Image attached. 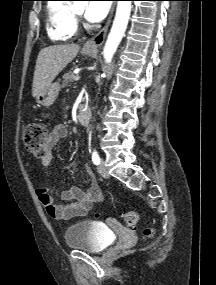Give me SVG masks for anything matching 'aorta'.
<instances>
[{"label":"aorta","mask_w":216,"mask_h":285,"mask_svg":"<svg viewBox=\"0 0 216 285\" xmlns=\"http://www.w3.org/2000/svg\"><path fill=\"white\" fill-rule=\"evenodd\" d=\"M131 3V1H118L117 3L115 19L103 51L107 63L111 62V59L124 36L130 17Z\"/></svg>","instance_id":"1"}]
</instances>
